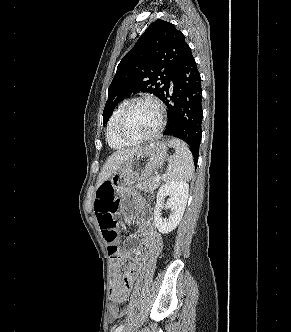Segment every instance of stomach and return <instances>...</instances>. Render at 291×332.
I'll return each mask as SVG.
<instances>
[{"mask_svg": "<svg viewBox=\"0 0 291 332\" xmlns=\"http://www.w3.org/2000/svg\"><path fill=\"white\" fill-rule=\"evenodd\" d=\"M166 157V144L154 142L136 151L112 174L109 182L118 197L121 213L137 210L140 196L132 184L148 179L153 171L163 165Z\"/></svg>", "mask_w": 291, "mask_h": 332, "instance_id": "1", "label": "stomach"}]
</instances>
